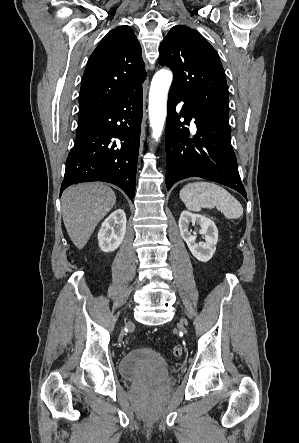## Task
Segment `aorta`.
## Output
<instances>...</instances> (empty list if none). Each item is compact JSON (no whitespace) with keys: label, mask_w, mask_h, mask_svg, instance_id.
<instances>
[{"label":"aorta","mask_w":299,"mask_h":443,"mask_svg":"<svg viewBox=\"0 0 299 443\" xmlns=\"http://www.w3.org/2000/svg\"><path fill=\"white\" fill-rule=\"evenodd\" d=\"M171 71L161 69L155 73L149 92V120L152 128V137L158 141L164 127L167 115V95L172 83Z\"/></svg>","instance_id":"obj_1"}]
</instances>
